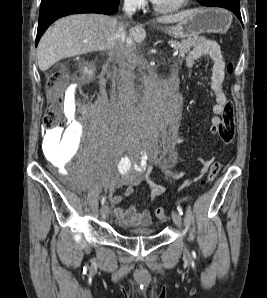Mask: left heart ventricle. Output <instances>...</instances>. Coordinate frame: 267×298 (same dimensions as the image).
Masks as SVG:
<instances>
[{
	"label": "left heart ventricle",
	"mask_w": 267,
	"mask_h": 298,
	"mask_svg": "<svg viewBox=\"0 0 267 298\" xmlns=\"http://www.w3.org/2000/svg\"><path fill=\"white\" fill-rule=\"evenodd\" d=\"M181 0H156V4L161 8H173L178 5Z\"/></svg>",
	"instance_id": "obj_1"
}]
</instances>
